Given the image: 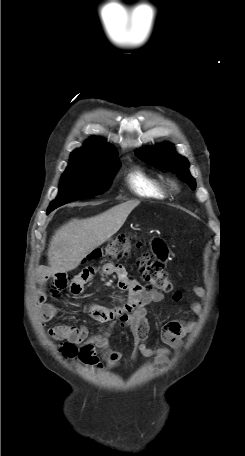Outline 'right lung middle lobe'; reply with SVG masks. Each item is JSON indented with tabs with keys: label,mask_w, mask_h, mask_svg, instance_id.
<instances>
[{
	"label": "right lung middle lobe",
	"mask_w": 245,
	"mask_h": 456,
	"mask_svg": "<svg viewBox=\"0 0 245 456\" xmlns=\"http://www.w3.org/2000/svg\"><path fill=\"white\" fill-rule=\"evenodd\" d=\"M119 167L118 158L101 163L69 164L61 177L58 198L51 202L47 210L103 194L109 189Z\"/></svg>",
	"instance_id": "right-lung-middle-lobe-1"
}]
</instances>
